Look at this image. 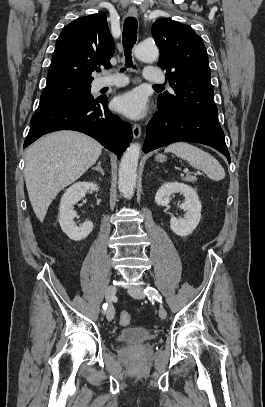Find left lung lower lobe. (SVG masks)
Returning a JSON list of instances; mask_svg holds the SVG:
<instances>
[{"mask_svg":"<svg viewBox=\"0 0 265 407\" xmlns=\"http://www.w3.org/2000/svg\"><path fill=\"white\" fill-rule=\"evenodd\" d=\"M143 147L145 153L177 141L211 146L226 156L230 163L224 133L219 124L183 111H158L147 126Z\"/></svg>","mask_w":265,"mask_h":407,"instance_id":"left-lung-lower-lobe-1","label":"left lung lower lobe"}]
</instances>
